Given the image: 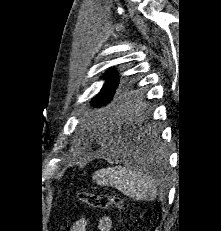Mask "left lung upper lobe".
Listing matches in <instances>:
<instances>
[{"label": "left lung upper lobe", "instance_id": "left-lung-upper-lobe-1", "mask_svg": "<svg viewBox=\"0 0 221 231\" xmlns=\"http://www.w3.org/2000/svg\"><path fill=\"white\" fill-rule=\"evenodd\" d=\"M107 78L100 93L92 100L94 106H108L112 110H119L128 101L134 100L132 89L129 86H122L116 91L118 87V76L114 69L108 70Z\"/></svg>", "mask_w": 221, "mask_h": 231}]
</instances>
